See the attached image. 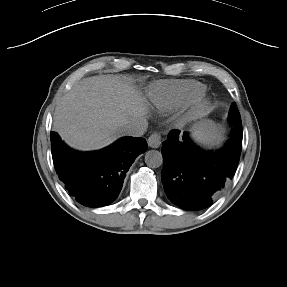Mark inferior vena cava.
<instances>
[{
    "label": "inferior vena cava",
    "mask_w": 287,
    "mask_h": 287,
    "mask_svg": "<svg viewBox=\"0 0 287 287\" xmlns=\"http://www.w3.org/2000/svg\"><path fill=\"white\" fill-rule=\"evenodd\" d=\"M148 127V121L145 118H138L122 127V133L125 136L140 137L144 135Z\"/></svg>",
    "instance_id": "obj_1"
}]
</instances>
